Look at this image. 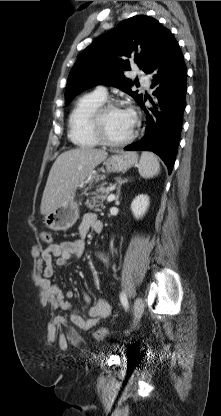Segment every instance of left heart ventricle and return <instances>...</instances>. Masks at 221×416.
<instances>
[{
	"label": "left heart ventricle",
	"mask_w": 221,
	"mask_h": 416,
	"mask_svg": "<svg viewBox=\"0 0 221 416\" xmlns=\"http://www.w3.org/2000/svg\"><path fill=\"white\" fill-rule=\"evenodd\" d=\"M103 124L107 137L120 141L129 136L133 127V116L125 109H110L104 115Z\"/></svg>",
	"instance_id": "1"
}]
</instances>
